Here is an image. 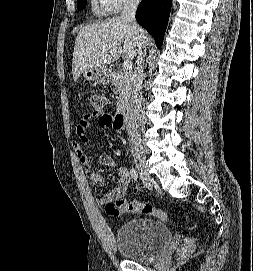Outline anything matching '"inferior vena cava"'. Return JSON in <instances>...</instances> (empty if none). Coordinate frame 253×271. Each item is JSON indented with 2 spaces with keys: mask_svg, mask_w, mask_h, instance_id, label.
I'll return each mask as SVG.
<instances>
[{
  "mask_svg": "<svg viewBox=\"0 0 253 271\" xmlns=\"http://www.w3.org/2000/svg\"><path fill=\"white\" fill-rule=\"evenodd\" d=\"M140 0H125L121 19L130 23L139 40L143 38V30L139 27L135 20V14ZM145 49L142 44H139V53L136 61V70L134 75V84L132 88V96L127 107L128 118V135L131 143V150L133 153L142 151L141 138H140V125H141V110L143 98L141 94L143 83V65H144Z\"/></svg>",
  "mask_w": 253,
  "mask_h": 271,
  "instance_id": "602c4592",
  "label": "inferior vena cava"
}]
</instances>
